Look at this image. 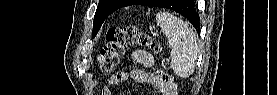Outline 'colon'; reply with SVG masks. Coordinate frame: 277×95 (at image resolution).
I'll list each match as a JSON object with an SVG mask.
<instances>
[{
	"label": "colon",
	"mask_w": 277,
	"mask_h": 95,
	"mask_svg": "<svg viewBox=\"0 0 277 95\" xmlns=\"http://www.w3.org/2000/svg\"><path fill=\"white\" fill-rule=\"evenodd\" d=\"M106 44L99 52V68L104 74L111 73L119 64L126 49L132 47H148L155 52L160 51V46L146 33L135 26L123 28H110L105 36ZM165 68L170 67L168 60L163 61ZM160 82L169 80L166 71L158 72Z\"/></svg>",
	"instance_id": "colon-1"
}]
</instances>
